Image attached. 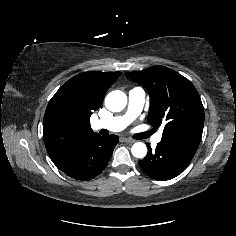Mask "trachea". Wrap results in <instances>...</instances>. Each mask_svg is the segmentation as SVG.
I'll list each match as a JSON object with an SVG mask.
<instances>
[{"label": "trachea", "instance_id": "3493384b", "mask_svg": "<svg viewBox=\"0 0 236 236\" xmlns=\"http://www.w3.org/2000/svg\"><path fill=\"white\" fill-rule=\"evenodd\" d=\"M154 133V131L153 130H150V131H148V132H146L145 134H143V137L142 138H147V137H149L151 134H153Z\"/></svg>", "mask_w": 236, "mask_h": 236}]
</instances>
